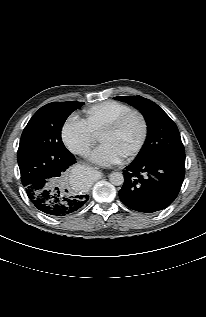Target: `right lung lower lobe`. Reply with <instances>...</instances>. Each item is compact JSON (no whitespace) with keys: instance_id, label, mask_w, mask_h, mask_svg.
Returning a JSON list of instances; mask_svg holds the SVG:
<instances>
[{"instance_id":"1","label":"right lung lower lobe","mask_w":206,"mask_h":317,"mask_svg":"<svg viewBox=\"0 0 206 317\" xmlns=\"http://www.w3.org/2000/svg\"><path fill=\"white\" fill-rule=\"evenodd\" d=\"M75 157L70 153L59 159L57 172L66 171L74 164ZM28 198L40 211L54 215L66 216L80 209L87 201L88 195L68 191L65 185L54 183L52 172L30 179L25 185Z\"/></svg>"}]
</instances>
